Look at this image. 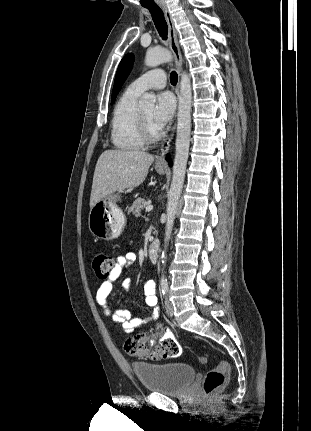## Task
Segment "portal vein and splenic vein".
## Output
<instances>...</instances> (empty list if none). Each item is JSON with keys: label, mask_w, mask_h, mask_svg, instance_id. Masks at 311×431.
I'll return each mask as SVG.
<instances>
[{"label": "portal vein and splenic vein", "mask_w": 311, "mask_h": 431, "mask_svg": "<svg viewBox=\"0 0 311 431\" xmlns=\"http://www.w3.org/2000/svg\"><path fill=\"white\" fill-rule=\"evenodd\" d=\"M153 210V206H146L145 212H151Z\"/></svg>", "instance_id": "18ae733b"}]
</instances>
